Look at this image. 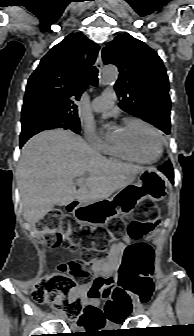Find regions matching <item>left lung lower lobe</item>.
<instances>
[{
  "label": "left lung lower lobe",
  "instance_id": "1",
  "mask_svg": "<svg viewBox=\"0 0 194 336\" xmlns=\"http://www.w3.org/2000/svg\"><path fill=\"white\" fill-rule=\"evenodd\" d=\"M159 170L162 171L172 183H174L173 168L170 162H166L164 165L159 167Z\"/></svg>",
  "mask_w": 194,
  "mask_h": 336
}]
</instances>
